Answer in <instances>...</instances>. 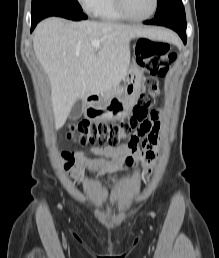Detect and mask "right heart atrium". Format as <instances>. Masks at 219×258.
<instances>
[{
	"label": "right heart atrium",
	"instance_id": "obj_1",
	"mask_svg": "<svg viewBox=\"0 0 219 258\" xmlns=\"http://www.w3.org/2000/svg\"><path fill=\"white\" fill-rule=\"evenodd\" d=\"M84 11L88 13H94L100 0H78Z\"/></svg>",
	"mask_w": 219,
	"mask_h": 258
}]
</instances>
